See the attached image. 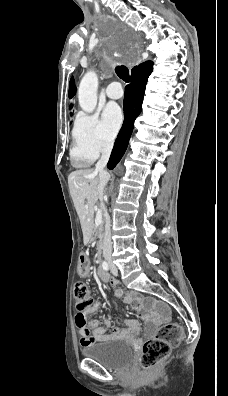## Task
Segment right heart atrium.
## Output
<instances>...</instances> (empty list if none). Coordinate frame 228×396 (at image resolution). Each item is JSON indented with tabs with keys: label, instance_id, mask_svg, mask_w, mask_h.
Wrapping results in <instances>:
<instances>
[{
	"label": "right heart atrium",
	"instance_id": "obj_1",
	"mask_svg": "<svg viewBox=\"0 0 228 396\" xmlns=\"http://www.w3.org/2000/svg\"><path fill=\"white\" fill-rule=\"evenodd\" d=\"M73 156L77 161L91 162L113 147V138L95 114H80L73 128Z\"/></svg>",
	"mask_w": 228,
	"mask_h": 396
}]
</instances>
